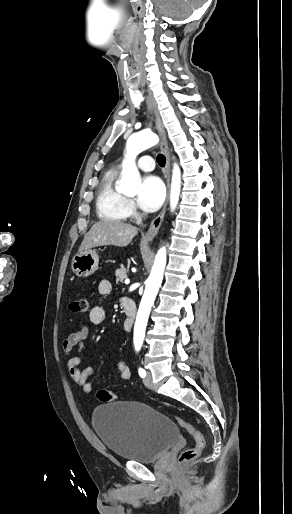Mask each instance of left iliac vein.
<instances>
[{
  "label": "left iliac vein",
  "mask_w": 292,
  "mask_h": 514,
  "mask_svg": "<svg viewBox=\"0 0 292 514\" xmlns=\"http://www.w3.org/2000/svg\"><path fill=\"white\" fill-rule=\"evenodd\" d=\"M143 383L144 385L149 388V389H152L153 388V383H152V374L150 372H147V375L144 377L143 379Z\"/></svg>",
  "instance_id": "left-iliac-vein-1"
}]
</instances>
